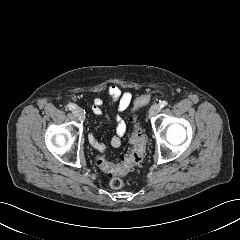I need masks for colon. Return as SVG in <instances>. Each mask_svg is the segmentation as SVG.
<instances>
[{"label": "colon", "instance_id": "colon-1", "mask_svg": "<svg viewBox=\"0 0 240 240\" xmlns=\"http://www.w3.org/2000/svg\"><path fill=\"white\" fill-rule=\"evenodd\" d=\"M150 96L148 94L140 95L134 101V107H142L149 103ZM146 140L143 131L136 127L132 132L129 140V147L121 157L119 164H114L104 157H98L97 163L101 170L110 177L109 185L112 189H120L124 185L121 178L135 166L142 163L145 156Z\"/></svg>", "mask_w": 240, "mask_h": 240}]
</instances>
